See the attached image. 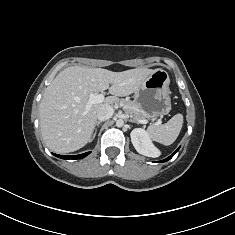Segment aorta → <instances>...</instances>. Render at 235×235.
Returning <instances> with one entry per match:
<instances>
[{
  "mask_svg": "<svg viewBox=\"0 0 235 235\" xmlns=\"http://www.w3.org/2000/svg\"><path fill=\"white\" fill-rule=\"evenodd\" d=\"M124 125V121L122 119L116 120V126L117 127H122Z\"/></svg>",
  "mask_w": 235,
  "mask_h": 235,
  "instance_id": "762f6f07",
  "label": "aorta"
}]
</instances>
